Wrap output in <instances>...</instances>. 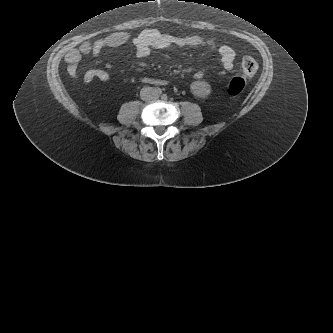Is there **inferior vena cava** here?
Returning <instances> with one entry per match:
<instances>
[{
	"label": "inferior vena cava",
	"instance_id": "obj_1",
	"mask_svg": "<svg viewBox=\"0 0 333 333\" xmlns=\"http://www.w3.org/2000/svg\"><path fill=\"white\" fill-rule=\"evenodd\" d=\"M143 100H148V97H145V96H144V97H143Z\"/></svg>",
	"mask_w": 333,
	"mask_h": 333
}]
</instances>
